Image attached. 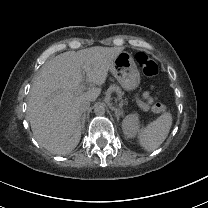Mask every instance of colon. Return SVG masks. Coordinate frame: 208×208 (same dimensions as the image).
Returning a JSON list of instances; mask_svg holds the SVG:
<instances>
[{
  "mask_svg": "<svg viewBox=\"0 0 208 208\" xmlns=\"http://www.w3.org/2000/svg\"><path fill=\"white\" fill-rule=\"evenodd\" d=\"M136 61L146 77L148 78L156 77V75L158 74L157 65L148 54L143 52L138 53L136 56ZM165 110L166 108L162 104H154L152 106L153 112L159 113V112H164Z\"/></svg>",
  "mask_w": 208,
  "mask_h": 208,
  "instance_id": "obj_1",
  "label": "colon"
}]
</instances>
